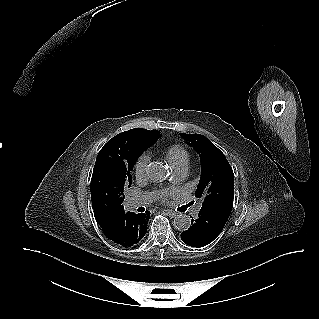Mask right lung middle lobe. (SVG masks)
Returning a JSON list of instances; mask_svg holds the SVG:
<instances>
[{
	"label": "right lung middle lobe",
	"instance_id": "right-lung-middle-lobe-1",
	"mask_svg": "<svg viewBox=\"0 0 319 319\" xmlns=\"http://www.w3.org/2000/svg\"><path fill=\"white\" fill-rule=\"evenodd\" d=\"M143 151L113 137L100 150L91 178L94 213L122 206L124 190L132 183L131 171Z\"/></svg>",
	"mask_w": 319,
	"mask_h": 319
}]
</instances>
